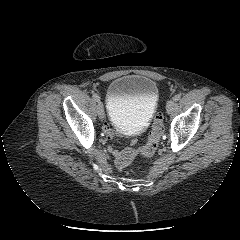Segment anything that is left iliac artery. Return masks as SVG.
<instances>
[{"instance_id": "left-iliac-artery-1", "label": "left iliac artery", "mask_w": 240, "mask_h": 240, "mask_svg": "<svg viewBox=\"0 0 240 240\" xmlns=\"http://www.w3.org/2000/svg\"><path fill=\"white\" fill-rule=\"evenodd\" d=\"M180 97H181V93H177L174 95L173 100L178 101L180 99Z\"/></svg>"}]
</instances>
